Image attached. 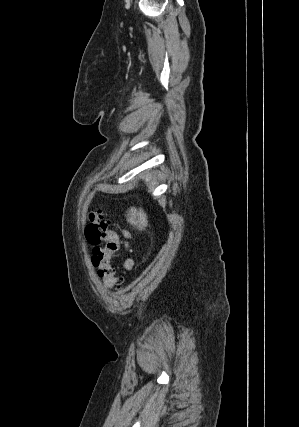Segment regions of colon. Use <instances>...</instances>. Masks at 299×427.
I'll use <instances>...</instances> for the list:
<instances>
[{"label":"colon","instance_id":"colon-1","mask_svg":"<svg viewBox=\"0 0 299 427\" xmlns=\"http://www.w3.org/2000/svg\"><path fill=\"white\" fill-rule=\"evenodd\" d=\"M85 236L93 246L92 263L104 285L121 290L123 279L116 277L115 267L111 263L112 256L120 249L119 234L111 228L110 221L104 218L102 210L97 209L89 213Z\"/></svg>","mask_w":299,"mask_h":427}]
</instances>
